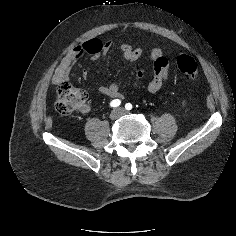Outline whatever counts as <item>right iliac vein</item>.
<instances>
[{
	"mask_svg": "<svg viewBox=\"0 0 236 236\" xmlns=\"http://www.w3.org/2000/svg\"><path fill=\"white\" fill-rule=\"evenodd\" d=\"M120 115H121L120 109H115L110 113L109 117L111 120H116L117 118H119Z\"/></svg>",
	"mask_w": 236,
	"mask_h": 236,
	"instance_id": "63e3f726",
	"label": "right iliac vein"
}]
</instances>
